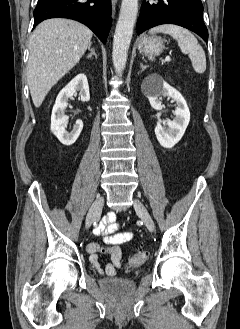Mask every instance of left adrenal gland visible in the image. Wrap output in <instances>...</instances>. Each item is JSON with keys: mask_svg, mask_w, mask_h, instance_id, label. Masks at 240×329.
<instances>
[{"mask_svg": "<svg viewBox=\"0 0 240 329\" xmlns=\"http://www.w3.org/2000/svg\"><path fill=\"white\" fill-rule=\"evenodd\" d=\"M140 67H141L142 71H144L147 68V66L143 65L142 63H140Z\"/></svg>", "mask_w": 240, "mask_h": 329, "instance_id": "1", "label": "left adrenal gland"}]
</instances>
